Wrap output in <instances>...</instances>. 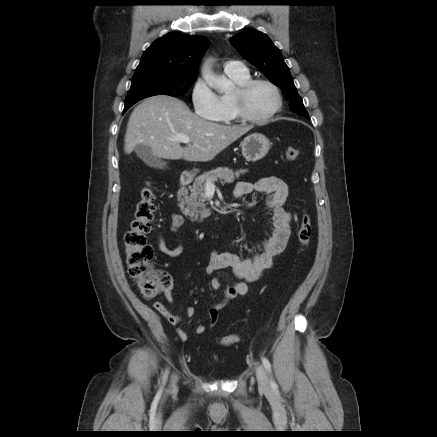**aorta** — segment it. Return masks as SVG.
Masks as SVG:
<instances>
[{
	"instance_id": "1",
	"label": "aorta",
	"mask_w": 437,
	"mask_h": 437,
	"mask_svg": "<svg viewBox=\"0 0 437 437\" xmlns=\"http://www.w3.org/2000/svg\"><path fill=\"white\" fill-rule=\"evenodd\" d=\"M202 77L209 87L218 93H228L232 90V83L227 78H218L212 71L210 61H206L202 67Z\"/></svg>"
}]
</instances>
